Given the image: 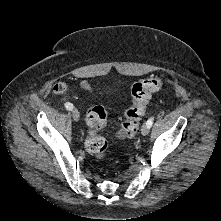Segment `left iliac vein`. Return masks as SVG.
<instances>
[{
  "mask_svg": "<svg viewBox=\"0 0 221 221\" xmlns=\"http://www.w3.org/2000/svg\"><path fill=\"white\" fill-rule=\"evenodd\" d=\"M149 129H150V128L147 126V124H144V125L142 126V128H141V133H142V135H143V136L148 135Z\"/></svg>",
  "mask_w": 221,
  "mask_h": 221,
  "instance_id": "obj_1",
  "label": "left iliac vein"
}]
</instances>
